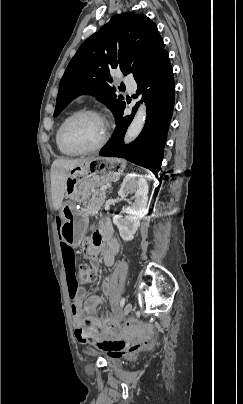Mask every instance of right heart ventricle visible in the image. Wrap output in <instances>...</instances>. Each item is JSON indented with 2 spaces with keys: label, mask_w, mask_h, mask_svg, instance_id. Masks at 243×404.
Returning a JSON list of instances; mask_svg holds the SVG:
<instances>
[{
  "label": "right heart ventricle",
  "mask_w": 243,
  "mask_h": 404,
  "mask_svg": "<svg viewBox=\"0 0 243 404\" xmlns=\"http://www.w3.org/2000/svg\"><path fill=\"white\" fill-rule=\"evenodd\" d=\"M67 116H69V114L66 115L65 117H63V119L59 123L58 127L56 128L55 133H54V142H55V145H56V147H57L60 154H62L64 156H78L81 153H79V152H77V151H75L73 149L68 148L60 140V127H61V124L63 123V121L66 119Z\"/></svg>",
  "instance_id": "e07e8e85"
}]
</instances>
